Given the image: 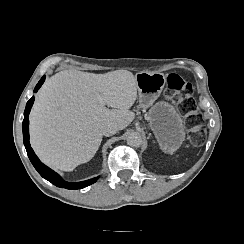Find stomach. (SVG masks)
Listing matches in <instances>:
<instances>
[{
    "label": "stomach",
    "mask_w": 244,
    "mask_h": 244,
    "mask_svg": "<svg viewBox=\"0 0 244 244\" xmlns=\"http://www.w3.org/2000/svg\"><path fill=\"white\" fill-rule=\"evenodd\" d=\"M135 79L140 106L151 107L148 120L161 150L173 154L185 140V125L174 106L164 101L154 104L165 86V75L160 72H138Z\"/></svg>",
    "instance_id": "obj_1"
}]
</instances>
